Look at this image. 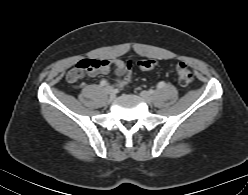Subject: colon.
Returning <instances> with one entry per match:
<instances>
[{
    "label": "colon",
    "mask_w": 248,
    "mask_h": 195,
    "mask_svg": "<svg viewBox=\"0 0 248 195\" xmlns=\"http://www.w3.org/2000/svg\"><path fill=\"white\" fill-rule=\"evenodd\" d=\"M133 61L128 60L126 62V69L127 73L121 78L119 81V86L124 87L128 84L131 77V70L133 68ZM157 66L156 60L153 59H143L138 62V67L142 71H150L154 69ZM92 65H91V59H86L78 62L73 68H71L67 74V80L70 83H75L79 81L85 74H87L89 71H91ZM176 75L178 83L181 86H189L193 81V74L190 68L184 64L179 63L176 66Z\"/></svg>",
    "instance_id": "obj_1"
}]
</instances>
